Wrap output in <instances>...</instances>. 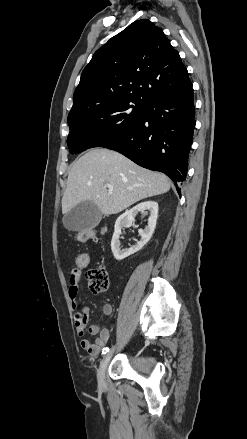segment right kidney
Returning <instances> with one entry per match:
<instances>
[{
  "label": "right kidney",
  "instance_id": "right-kidney-1",
  "mask_svg": "<svg viewBox=\"0 0 247 439\" xmlns=\"http://www.w3.org/2000/svg\"><path fill=\"white\" fill-rule=\"evenodd\" d=\"M141 213L143 215H149L148 225L144 230L139 229V235L141 239L136 245L130 247L129 249H121V243L119 241V237L121 235V230L124 227L130 226L135 219V216ZM158 216V203L155 201H146L142 202L130 210H127L122 215H120L114 227V234L111 241V250L115 259L123 260L124 258L136 253L141 250L144 245L151 239L152 234L154 233L156 222Z\"/></svg>",
  "mask_w": 247,
  "mask_h": 439
}]
</instances>
